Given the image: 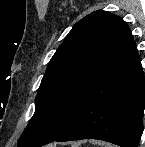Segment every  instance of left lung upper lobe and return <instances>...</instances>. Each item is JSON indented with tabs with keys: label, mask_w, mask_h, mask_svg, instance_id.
I'll list each match as a JSON object with an SVG mask.
<instances>
[{
	"label": "left lung upper lobe",
	"mask_w": 145,
	"mask_h": 147,
	"mask_svg": "<svg viewBox=\"0 0 145 147\" xmlns=\"http://www.w3.org/2000/svg\"><path fill=\"white\" fill-rule=\"evenodd\" d=\"M124 24L120 17L98 10L73 26L50 60L19 147H41L70 126Z\"/></svg>",
	"instance_id": "1"
}]
</instances>
